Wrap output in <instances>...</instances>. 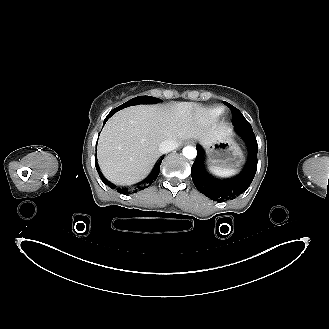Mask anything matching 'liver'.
Segmentation results:
<instances>
[{
    "label": "liver",
    "instance_id": "liver-1",
    "mask_svg": "<svg viewBox=\"0 0 329 329\" xmlns=\"http://www.w3.org/2000/svg\"><path fill=\"white\" fill-rule=\"evenodd\" d=\"M232 129L214 123L197 104L180 102L172 108L138 106L122 110L104 126L98 142V163L107 179L130 185L144 178L161 155L164 140L178 144L194 138L211 144L231 136Z\"/></svg>",
    "mask_w": 329,
    "mask_h": 329
}]
</instances>
